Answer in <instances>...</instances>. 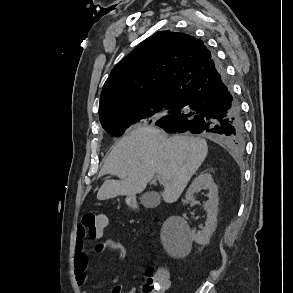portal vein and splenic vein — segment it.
<instances>
[{"label":"portal vein and splenic vein","mask_w":293,"mask_h":293,"mask_svg":"<svg viewBox=\"0 0 293 293\" xmlns=\"http://www.w3.org/2000/svg\"><path fill=\"white\" fill-rule=\"evenodd\" d=\"M156 178H157V180L160 182V183H163L164 182V177L163 176H161V175H156Z\"/></svg>","instance_id":"1"}]
</instances>
